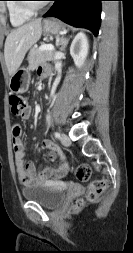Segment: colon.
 Listing matches in <instances>:
<instances>
[{"instance_id":"5ec220e1","label":"colon","mask_w":133,"mask_h":253,"mask_svg":"<svg viewBox=\"0 0 133 253\" xmlns=\"http://www.w3.org/2000/svg\"><path fill=\"white\" fill-rule=\"evenodd\" d=\"M9 104L11 113L16 117H23L27 101L23 95L13 94L9 97ZM75 177L79 181H88L91 177V167L88 164H80L74 170ZM108 182L106 179H97L92 181L86 191L85 199L87 201H94L99 198L107 189ZM84 200H77L73 203L74 208L82 206Z\"/></svg>"}]
</instances>
